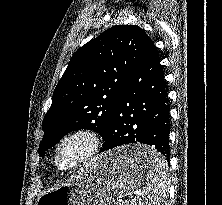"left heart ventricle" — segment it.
I'll return each mask as SVG.
<instances>
[{
	"label": "left heart ventricle",
	"mask_w": 222,
	"mask_h": 205,
	"mask_svg": "<svg viewBox=\"0 0 222 205\" xmlns=\"http://www.w3.org/2000/svg\"><path fill=\"white\" fill-rule=\"evenodd\" d=\"M86 148V143L81 139H74L64 144L59 153L58 160L61 166H68L75 162Z\"/></svg>",
	"instance_id": "obj_1"
}]
</instances>
